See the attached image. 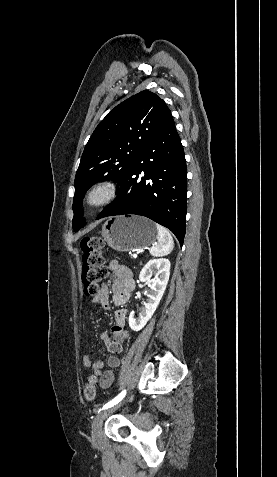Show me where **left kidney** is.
Wrapping results in <instances>:
<instances>
[{"label": "left kidney", "instance_id": "5707ae66", "mask_svg": "<svg viewBox=\"0 0 277 477\" xmlns=\"http://www.w3.org/2000/svg\"><path fill=\"white\" fill-rule=\"evenodd\" d=\"M152 275L155 277L151 280ZM169 275L170 261L166 258L150 260L141 270L139 280L149 285L150 292L139 317L135 318L134 312L130 313L129 326L133 331H140L153 316L165 292Z\"/></svg>", "mask_w": 277, "mask_h": 477}]
</instances>
